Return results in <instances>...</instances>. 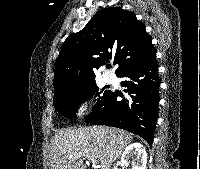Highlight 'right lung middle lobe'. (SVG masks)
Returning <instances> with one entry per match:
<instances>
[{
    "label": "right lung middle lobe",
    "mask_w": 200,
    "mask_h": 169,
    "mask_svg": "<svg viewBox=\"0 0 200 169\" xmlns=\"http://www.w3.org/2000/svg\"><path fill=\"white\" fill-rule=\"evenodd\" d=\"M103 90L104 88L100 93H102ZM108 92V90L105 91L103 96L99 97V100L94 105L92 111L100 106ZM95 93H98V87L96 86L95 80L93 79L86 82L73 93L53 98V104L59 113L69 119H72L76 117L78 106L90 99Z\"/></svg>",
    "instance_id": "1"
}]
</instances>
